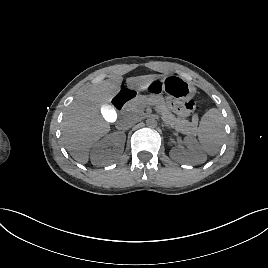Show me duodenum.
I'll list each match as a JSON object with an SVG mask.
<instances>
[{"mask_svg":"<svg viewBox=\"0 0 268 268\" xmlns=\"http://www.w3.org/2000/svg\"><path fill=\"white\" fill-rule=\"evenodd\" d=\"M135 96L134 92L130 89L121 90L113 99V105L116 109L121 110L125 104L133 99Z\"/></svg>","mask_w":268,"mask_h":268,"instance_id":"1","label":"duodenum"}]
</instances>
